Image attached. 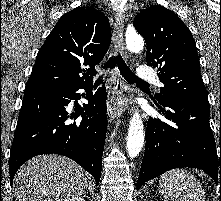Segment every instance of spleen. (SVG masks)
Here are the masks:
<instances>
[{
    "mask_svg": "<svg viewBox=\"0 0 221 201\" xmlns=\"http://www.w3.org/2000/svg\"><path fill=\"white\" fill-rule=\"evenodd\" d=\"M159 192L172 201H205L200 182L181 168L170 170L160 177Z\"/></svg>",
    "mask_w": 221,
    "mask_h": 201,
    "instance_id": "3e777b00",
    "label": "spleen"
}]
</instances>
